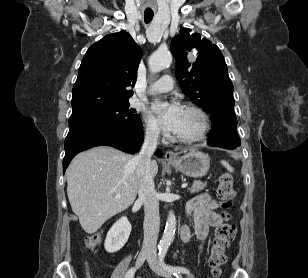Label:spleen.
I'll return each instance as SVG.
<instances>
[{"mask_svg":"<svg viewBox=\"0 0 308 278\" xmlns=\"http://www.w3.org/2000/svg\"><path fill=\"white\" fill-rule=\"evenodd\" d=\"M221 164L229 171V172H233L234 169L233 167L225 160L221 161Z\"/></svg>","mask_w":308,"mask_h":278,"instance_id":"3e777b00","label":"spleen"}]
</instances>
